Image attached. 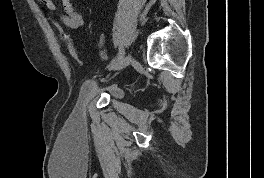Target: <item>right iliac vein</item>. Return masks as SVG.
I'll use <instances>...</instances> for the list:
<instances>
[{
	"instance_id": "1",
	"label": "right iliac vein",
	"mask_w": 264,
	"mask_h": 178,
	"mask_svg": "<svg viewBox=\"0 0 264 178\" xmlns=\"http://www.w3.org/2000/svg\"><path fill=\"white\" fill-rule=\"evenodd\" d=\"M128 64L127 56H123L119 61H117L113 66H111V70L118 71L126 67Z\"/></svg>"
}]
</instances>
